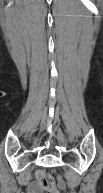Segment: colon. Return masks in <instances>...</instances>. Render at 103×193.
Returning a JSON list of instances; mask_svg holds the SVG:
<instances>
[{
	"label": "colon",
	"mask_w": 103,
	"mask_h": 193,
	"mask_svg": "<svg viewBox=\"0 0 103 193\" xmlns=\"http://www.w3.org/2000/svg\"><path fill=\"white\" fill-rule=\"evenodd\" d=\"M37 179L42 188L55 192V180L51 174L44 170H39L37 172Z\"/></svg>",
	"instance_id": "1"
}]
</instances>
